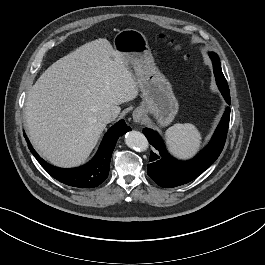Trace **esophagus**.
I'll return each mask as SVG.
<instances>
[{"label": "esophagus", "mask_w": 265, "mask_h": 265, "mask_svg": "<svg viewBox=\"0 0 265 265\" xmlns=\"http://www.w3.org/2000/svg\"><path fill=\"white\" fill-rule=\"evenodd\" d=\"M133 120L136 123H140L144 120V113L141 110H135L132 114Z\"/></svg>", "instance_id": "esophagus-1"}]
</instances>
